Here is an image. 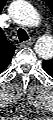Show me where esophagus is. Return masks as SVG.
<instances>
[{
    "label": "esophagus",
    "instance_id": "1",
    "mask_svg": "<svg viewBox=\"0 0 53 120\" xmlns=\"http://www.w3.org/2000/svg\"><path fill=\"white\" fill-rule=\"evenodd\" d=\"M32 44H33V40H29V41H26V42L22 43L21 45L22 46H30Z\"/></svg>",
    "mask_w": 53,
    "mask_h": 120
}]
</instances>
